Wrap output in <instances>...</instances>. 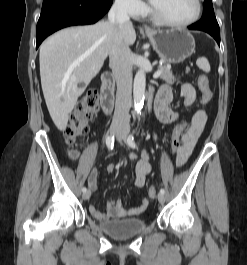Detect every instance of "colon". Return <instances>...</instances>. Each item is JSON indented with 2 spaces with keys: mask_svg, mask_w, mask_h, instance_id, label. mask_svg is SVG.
<instances>
[{
  "mask_svg": "<svg viewBox=\"0 0 247 265\" xmlns=\"http://www.w3.org/2000/svg\"><path fill=\"white\" fill-rule=\"evenodd\" d=\"M197 84L201 93L199 103L201 105L210 103L213 98V93L210 88L208 77L205 74H201L198 77ZM98 106L99 93L95 89L90 90L78 103L68 120L67 126L64 130V138L68 145L74 146L79 139L86 136L89 131V121L98 110ZM186 125L187 123L185 121H182L175 125L172 130L170 150L175 159H177V156L179 154L181 147L180 138ZM70 156L75 157L76 151L72 149L70 151ZM156 195L157 188L155 186H152L148 190V197L150 199H154Z\"/></svg>",
  "mask_w": 247,
  "mask_h": 265,
  "instance_id": "obj_1",
  "label": "colon"
}]
</instances>
